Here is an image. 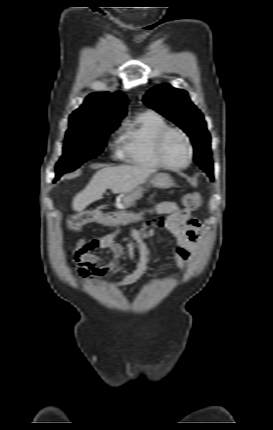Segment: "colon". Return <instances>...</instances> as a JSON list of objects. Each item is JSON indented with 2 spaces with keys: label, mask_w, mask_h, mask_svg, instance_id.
I'll return each mask as SVG.
<instances>
[{
  "label": "colon",
  "mask_w": 273,
  "mask_h": 430,
  "mask_svg": "<svg viewBox=\"0 0 273 430\" xmlns=\"http://www.w3.org/2000/svg\"><path fill=\"white\" fill-rule=\"evenodd\" d=\"M185 212L195 211L202 205V197L199 193H187L182 198ZM143 216L138 212H106L101 209H89L80 212L68 221V228L72 231L79 230L86 224L97 223L101 225H115L130 223L139 220ZM82 251H88L87 245L80 244L74 250V258H79ZM89 252V251H88Z\"/></svg>",
  "instance_id": "colon-1"
}]
</instances>
